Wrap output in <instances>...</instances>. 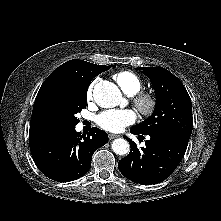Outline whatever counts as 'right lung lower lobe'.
Segmentation results:
<instances>
[{
  "instance_id": "right-lung-lower-lobe-1",
  "label": "right lung lower lobe",
  "mask_w": 221,
  "mask_h": 221,
  "mask_svg": "<svg viewBox=\"0 0 221 221\" xmlns=\"http://www.w3.org/2000/svg\"><path fill=\"white\" fill-rule=\"evenodd\" d=\"M108 142L106 132L93 127L86 135L75 126L30 137V151L39 170L48 178L69 182L85 175L94 151Z\"/></svg>"
}]
</instances>
